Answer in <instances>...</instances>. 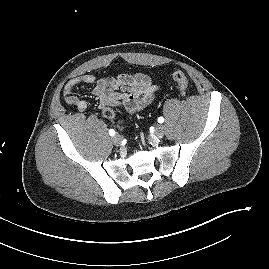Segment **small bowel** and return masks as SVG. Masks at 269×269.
Masks as SVG:
<instances>
[{
    "instance_id": "obj_1",
    "label": "small bowel",
    "mask_w": 269,
    "mask_h": 269,
    "mask_svg": "<svg viewBox=\"0 0 269 269\" xmlns=\"http://www.w3.org/2000/svg\"><path fill=\"white\" fill-rule=\"evenodd\" d=\"M80 84H94L93 94L99 100L102 114L109 119L114 116V108H121L130 116L141 111L151 103L159 90L150 77L142 73H125L100 79L92 74H85L70 79L63 89L66 104L76 107L79 111L88 108L85 100L74 95V89ZM120 126H124L123 121L120 122Z\"/></svg>"
}]
</instances>
